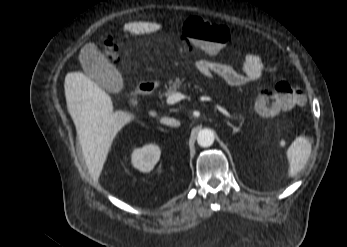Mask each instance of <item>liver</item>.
I'll use <instances>...</instances> for the list:
<instances>
[{
  "label": "liver",
  "instance_id": "obj_1",
  "mask_svg": "<svg viewBox=\"0 0 347 247\" xmlns=\"http://www.w3.org/2000/svg\"><path fill=\"white\" fill-rule=\"evenodd\" d=\"M135 30L131 24L124 31ZM88 45L86 44L81 52ZM96 47V46H95ZM67 109L74 121L88 170L98 179L117 133L135 119L122 110L113 111L111 97L84 73H68L64 82ZM156 116V112H150Z\"/></svg>",
  "mask_w": 347,
  "mask_h": 247
}]
</instances>
